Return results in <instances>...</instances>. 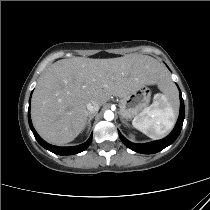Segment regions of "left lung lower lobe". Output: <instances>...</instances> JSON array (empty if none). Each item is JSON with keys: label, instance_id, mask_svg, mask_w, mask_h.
I'll use <instances>...</instances> for the list:
<instances>
[{"label": "left lung lower lobe", "instance_id": "obj_1", "mask_svg": "<svg viewBox=\"0 0 210 210\" xmlns=\"http://www.w3.org/2000/svg\"><path fill=\"white\" fill-rule=\"evenodd\" d=\"M184 117H185L184 102H183L182 95L180 92V115H179V118H178V121L174 130L170 133L169 136H167L166 138L162 140H158V141H154V142L146 143V144L131 143L127 139H125L120 132H119V136L122 142L128 148H130L131 150L135 152L143 153V154L157 153L163 150L165 147L172 144L176 140V138L179 136L182 129Z\"/></svg>", "mask_w": 210, "mask_h": 210}]
</instances>
